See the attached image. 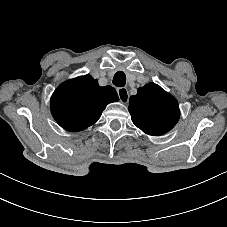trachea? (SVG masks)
I'll use <instances>...</instances> for the list:
<instances>
[{
  "label": "trachea",
  "mask_w": 227,
  "mask_h": 227,
  "mask_svg": "<svg viewBox=\"0 0 227 227\" xmlns=\"http://www.w3.org/2000/svg\"><path fill=\"white\" fill-rule=\"evenodd\" d=\"M113 84L117 87H124L126 84V74L122 71L116 72L113 77Z\"/></svg>",
  "instance_id": "3493384b"
}]
</instances>
